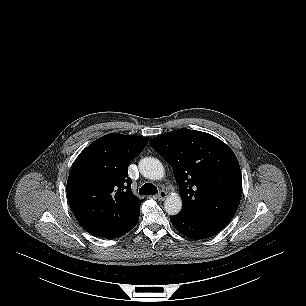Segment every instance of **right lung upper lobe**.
Segmentation results:
<instances>
[{"instance_id":"1","label":"right lung upper lobe","mask_w":306,"mask_h":306,"mask_svg":"<svg viewBox=\"0 0 306 306\" xmlns=\"http://www.w3.org/2000/svg\"><path fill=\"white\" fill-rule=\"evenodd\" d=\"M147 137L111 133L84 149L76 158L67 181L70 207L91 235L122 236L140 213L131 191L127 166L145 148Z\"/></svg>"}]
</instances>
